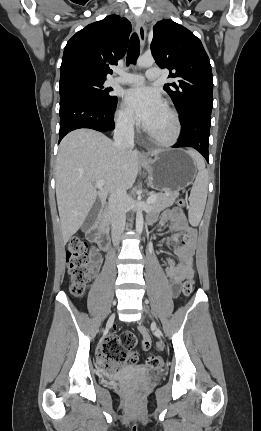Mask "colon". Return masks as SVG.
<instances>
[{"mask_svg": "<svg viewBox=\"0 0 261 431\" xmlns=\"http://www.w3.org/2000/svg\"><path fill=\"white\" fill-rule=\"evenodd\" d=\"M177 204L183 207L185 206V201L179 199ZM183 241H188V237L186 236ZM66 261L70 278V291L74 296L80 297L85 293L90 279V258L87 252V243L80 237L75 236L68 242ZM193 290L194 279L193 277H188L183 283L182 292L185 296H189ZM135 345L136 338L130 332L108 337L99 349V356L105 372L113 374L121 366L135 363L137 360L133 352ZM157 346L160 348V352H165L163 343H159ZM147 364L151 365L154 372H157L160 366L164 364V359L150 355L147 358Z\"/></svg>", "mask_w": 261, "mask_h": 431, "instance_id": "obj_1", "label": "colon"}]
</instances>
